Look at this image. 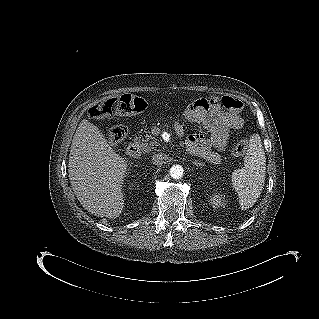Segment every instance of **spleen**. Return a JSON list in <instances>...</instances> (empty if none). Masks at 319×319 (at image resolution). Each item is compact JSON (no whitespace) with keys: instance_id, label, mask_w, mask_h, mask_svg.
<instances>
[{"instance_id":"3e777b00","label":"spleen","mask_w":319,"mask_h":319,"mask_svg":"<svg viewBox=\"0 0 319 319\" xmlns=\"http://www.w3.org/2000/svg\"><path fill=\"white\" fill-rule=\"evenodd\" d=\"M266 158L261 138L253 134L244 160V167L232 173V187L238 193L242 210L251 207L264 187Z\"/></svg>"}]
</instances>
